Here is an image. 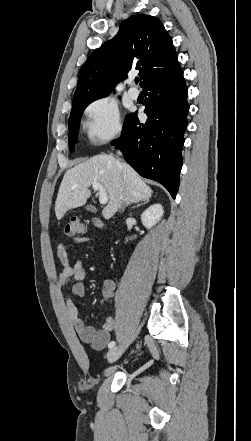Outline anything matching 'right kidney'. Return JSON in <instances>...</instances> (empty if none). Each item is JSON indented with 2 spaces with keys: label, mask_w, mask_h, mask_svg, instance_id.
<instances>
[{
  "label": "right kidney",
  "mask_w": 251,
  "mask_h": 441,
  "mask_svg": "<svg viewBox=\"0 0 251 441\" xmlns=\"http://www.w3.org/2000/svg\"><path fill=\"white\" fill-rule=\"evenodd\" d=\"M164 213L161 204H153L147 208L141 215V221L147 229H151L160 221Z\"/></svg>",
  "instance_id": "1"
}]
</instances>
